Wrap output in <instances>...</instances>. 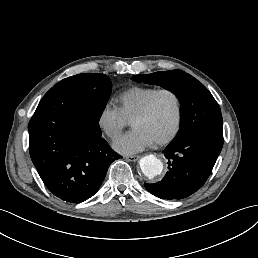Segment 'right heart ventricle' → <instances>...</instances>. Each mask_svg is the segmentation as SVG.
Wrapping results in <instances>:
<instances>
[{"label": "right heart ventricle", "mask_w": 258, "mask_h": 258, "mask_svg": "<svg viewBox=\"0 0 258 258\" xmlns=\"http://www.w3.org/2000/svg\"><path fill=\"white\" fill-rule=\"evenodd\" d=\"M158 89L154 87L132 88L122 93L117 108L127 123L139 121Z\"/></svg>", "instance_id": "right-heart-ventricle-1"}]
</instances>
